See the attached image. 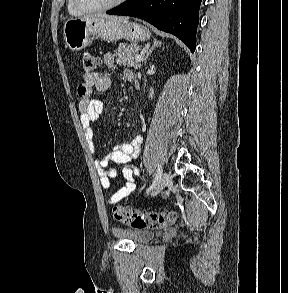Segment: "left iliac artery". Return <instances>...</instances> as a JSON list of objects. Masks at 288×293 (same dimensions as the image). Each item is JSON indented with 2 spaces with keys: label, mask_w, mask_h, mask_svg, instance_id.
<instances>
[{
  "label": "left iliac artery",
  "mask_w": 288,
  "mask_h": 293,
  "mask_svg": "<svg viewBox=\"0 0 288 293\" xmlns=\"http://www.w3.org/2000/svg\"><path fill=\"white\" fill-rule=\"evenodd\" d=\"M161 174H162V169H161V166L158 165V169H157V173L155 175V179L152 183V185L147 189V192H149L150 190H152L158 183L160 177H161Z\"/></svg>",
  "instance_id": "44dca946"
}]
</instances>
